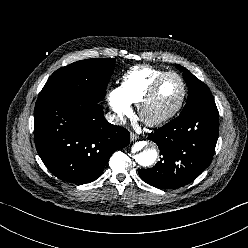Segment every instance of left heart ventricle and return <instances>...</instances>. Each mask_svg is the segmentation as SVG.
I'll return each mask as SVG.
<instances>
[{
    "instance_id": "1",
    "label": "left heart ventricle",
    "mask_w": 248,
    "mask_h": 248,
    "mask_svg": "<svg viewBox=\"0 0 248 248\" xmlns=\"http://www.w3.org/2000/svg\"><path fill=\"white\" fill-rule=\"evenodd\" d=\"M182 92L179 79L175 76L167 77L160 85L150 112L158 114L171 109L177 104Z\"/></svg>"
}]
</instances>
